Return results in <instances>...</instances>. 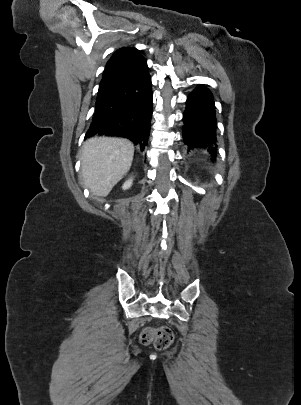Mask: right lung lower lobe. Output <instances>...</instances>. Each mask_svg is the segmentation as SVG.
I'll use <instances>...</instances> for the list:
<instances>
[{
	"instance_id": "98d812e1",
	"label": "right lung lower lobe",
	"mask_w": 301,
	"mask_h": 405,
	"mask_svg": "<svg viewBox=\"0 0 301 405\" xmlns=\"http://www.w3.org/2000/svg\"><path fill=\"white\" fill-rule=\"evenodd\" d=\"M151 118V78L144 58L120 82L98 95L85 138L95 134L125 137L143 150Z\"/></svg>"
}]
</instances>
